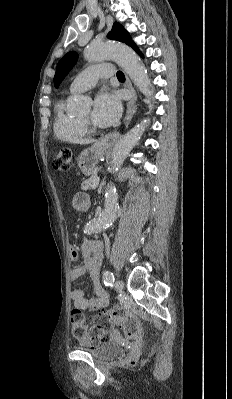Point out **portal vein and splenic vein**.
<instances>
[{
  "instance_id": "portal-vein-and-splenic-vein-1",
  "label": "portal vein and splenic vein",
  "mask_w": 232,
  "mask_h": 399,
  "mask_svg": "<svg viewBox=\"0 0 232 399\" xmlns=\"http://www.w3.org/2000/svg\"><path fill=\"white\" fill-rule=\"evenodd\" d=\"M98 184H99V178H98V176H96V178L94 180V184L92 186V190H96Z\"/></svg>"
}]
</instances>
